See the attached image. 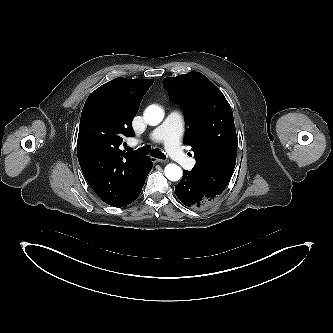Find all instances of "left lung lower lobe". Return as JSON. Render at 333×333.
<instances>
[{"label":"left lung lower lobe","instance_id":"1","mask_svg":"<svg viewBox=\"0 0 333 333\" xmlns=\"http://www.w3.org/2000/svg\"><path fill=\"white\" fill-rule=\"evenodd\" d=\"M175 191L184 205L195 209L211 206L220 195L215 190L197 183L188 171L183 172L181 181L175 185Z\"/></svg>","mask_w":333,"mask_h":333}]
</instances>
